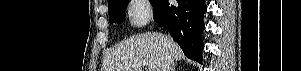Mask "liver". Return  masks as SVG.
<instances>
[{
  "label": "liver",
  "mask_w": 301,
  "mask_h": 71,
  "mask_svg": "<svg viewBox=\"0 0 301 71\" xmlns=\"http://www.w3.org/2000/svg\"><path fill=\"white\" fill-rule=\"evenodd\" d=\"M173 61L184 58L181 48L168 36L148 32L132 36L112 49L104 58L101 71H162L165 56ZM138 66V67H135Z\"/></svg>",
  "instance_id": "1"
}]
</instances>
